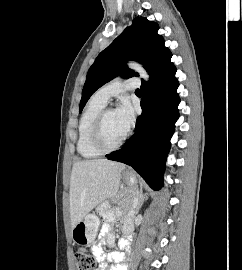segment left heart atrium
<instances>
[{"label":"left heart atrium","mask_w":242,"mask_h":270,"mask_svg":"<svg viewBox=\"0 0 242 270\" xmlns=\"http://www.w3.org/2000/svg\"><path fill=\"white\" fill-rule=\"evenodd\" d=\"M116 112L124 129L128 131L134 122V108L132 104L129 100L124 99L118 106Z\"/></svg>","instance_id":"39dd6f15"}]
</instances>
